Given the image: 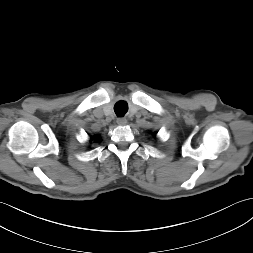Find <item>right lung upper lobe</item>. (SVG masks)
<instances>
[{"mask_svg": "<svg viewBox=\"0 0 253 253\" xmlns=\"http://www.w3.org/2000/svg\"><path fill=\"white\" fill-rule=\"evenodd\" d=\"M95 139H97V137H93V138H91V141H92V140H95ZM98 140H99V138H98Z\"/></svg>", "mask_w": 253, "mask_h": 253, "instance_id": "1", "label": "right lung upper lobe"}]
</instances>
